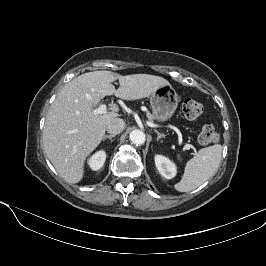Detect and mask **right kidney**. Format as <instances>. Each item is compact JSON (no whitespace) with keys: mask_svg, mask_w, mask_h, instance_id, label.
<instances>
[{"mask_svg":"<svg viewBox=\"0 0 266 266\" xmlns=\"http://www.w3.org/2000/svg\"><path fill=\"white\" fill-rule=\"evenodd\" d=\"M106 160V153L105 151L101 150L96 152L89 160L88 164L92 170H99L102 168Z\"/></svg>","mask_w":266,"mask_h":266,"instance_id":"ca27d5eb","label":"right kidney"}]
</instances>
